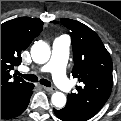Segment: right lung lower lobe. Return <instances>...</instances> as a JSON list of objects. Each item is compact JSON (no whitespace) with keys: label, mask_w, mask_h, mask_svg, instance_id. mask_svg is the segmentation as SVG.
<instances>
[{"label":"right lung lower lobe","mask_w":121,"mask_h":121,"mask_svg":"<svg viewBox=\"0 0 121 121\" xmlns=\"http://www.w3.org/2000/svg\"><path fill=\"white\" fill-rule=\"evenodd\" d=\"M34 85L30 84L23 92L12 95L1 104V118L9 119L20 115L28 106Z\"/></svg>","instance_id":"obj_1"}]
</instances>
